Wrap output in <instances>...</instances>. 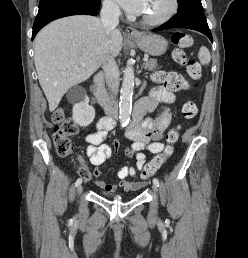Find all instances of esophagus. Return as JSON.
<instances>
[{
    "label": "esophagus",
    "instance_id": "34e87169",
    "mask_svg": "<svg viewBox=\"0 0 248 258\" xmlns=\"http://www.w3.org/2000/svg\"><path fill=\"white\" fill-rule=\"evenodd\" d=\"M126 34L129 36H137L139 35V32L132 26H128L126 28Z\"/></svg>",
    "mask_w": 248,
    "mask_h": 258
}]
</instances>
